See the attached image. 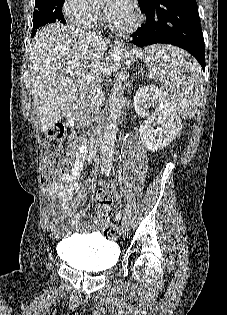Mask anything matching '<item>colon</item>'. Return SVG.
I'll list each match as a JSON object with an SVG mask.
<instances>
[{"mask_svg": "<svg viewBox=\"0 0 227 315\" xmlns=\"http://www.w3.org/2000/svg\"><path fill=\"white\" fill-rule=\"evenodd\" d=\"M65 131L63 126L52 127L43 139L44 159L41 167V181L45 184L55 182L60 175L65 172L71 163V155L62 152ZM74 141L79 142L80 137L74 136ZM96 203L98 216L97 221L101 226H105L104 235L107 238H115L120 235V229L112 224L109 216L112 212V197L105 189H100L96 193Z\"/></svg>", "mask_w": 227, "mask_h": 315, "instance_id": "obj_1", "label": "colon"}]
</instances>
